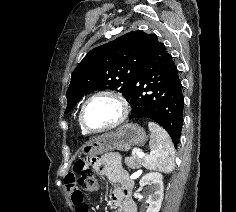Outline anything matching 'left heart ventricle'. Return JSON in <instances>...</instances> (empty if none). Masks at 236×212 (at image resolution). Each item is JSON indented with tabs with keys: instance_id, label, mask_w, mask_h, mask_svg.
<instances>
[{
	"instance_id": "1",
	"label": "left heart ventricle",
	"mask_w": 236,
	"mask_h": 212,
	"mask_svg": "<svg viewBox=\"0 0 236 212\" xmlns=\"http://www.w3.org/2000/svg\"><path fill=\"white\" fill-rule=\"evenodd\" d=\"M118 114V105L110 98L101 97L87 105L84 122L90 129H99L113 122Z\"/></svg>"
}]
</instances>
